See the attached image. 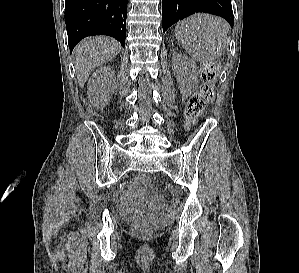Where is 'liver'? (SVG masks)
I'll list each match as a JSON object with an SVG mask.
<instances>
[{
	"label": "liver",
	"mask_w": 299,
	"mask_h": 273,
	"mask_svg": "<svg viewBox=\"0 0 299 273\" xmlns=\"http://www.w3.org/2000/svg\"><path fill=\"white\" fill-rule=\"evenodd\" d=\"M119 44L104 36L82 40L73 52L77 79L83 87L90 73L98 66L112 60L118 52Z\"/></svg>",
	"instance_id": "1"
}]
</instances>
